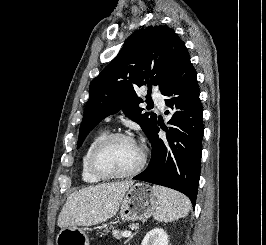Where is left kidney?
Returning a JSON list of instances; mask_svg holds the SVG:
<instances>
[{"instance_id": "5707ae66", "label": "left kidney", "mask_w": 266, "mask_h": 245, "mask_svg": "<svg viewBox=\"0 0 266 245\" xmlns=\"http://www.w3.org/2000/svg\"><path fill=\"white\" fill-rule=\"evenodd\" d=\"M168 235L163 229H152L145 235L141 245H168Z\"/></svg>"}]
</instances>
